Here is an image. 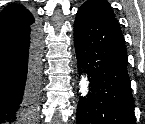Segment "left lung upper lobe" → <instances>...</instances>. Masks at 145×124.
Listing matches in <instances>:
<instances>
[{"label": "left lung upper lobe", "mask_w": 145, "mask_h": 124, "mask_svg": "<svg viewBox=\"0 0 145 124\" xmlns=\"http://www.w3.org/2000/svg\"><path fill=\"white\" fill-rule=\"evenodd\" d=\"M86 6L97 10L98 12L115 19L110 4L106 0H88L81 7ZM116 20V19H115Z\"/></svg>", "instance_id": "1"}]
</instances>
